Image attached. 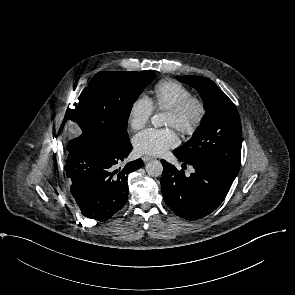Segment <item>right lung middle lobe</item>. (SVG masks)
Listing matches in <instances>:
<instances>
[{
    "label": "right lung middle lobe",
    "mask_w": 295,
    "mask_h": 295,
    "mask_svg": "<svg viewBox=\"0 0 295 295\" xmlns=\"http://www.w3.org/2000/svg\"><path fill=\"white\" fill-rule=\"evenodd\" d=\"M150 71L98 72L70 108L67 119L75 122L82 134L67 145L95 139L113 147L130 143L127 123L133 103L143 89L155 79Z\"/></svg>",
    "instance_id": "obj_1"
}]
</instances>
